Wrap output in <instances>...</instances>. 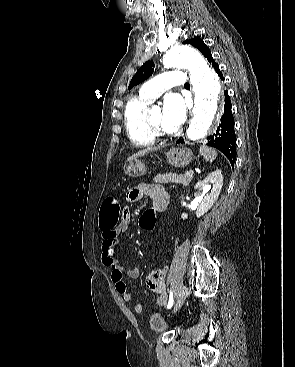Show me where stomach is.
Listing matches in <instances>:
<instances>
[{"instance_id": "1", "label": "stomach", "mask_w": 295, "mask_h": 367, "mask_svg": "<svg viewBox=\"0 0 295 367\" xmlns=\"http://www.w3.org/2000/svg\"><path fill=\"white\" fill-rule=\"evenodd\" d=\"M168 162L174 167H185L193 160V153L187 148H173L166 154ZM125 174L130 177H140L145 174L146 168L138 160L129 161L124 167Z\"/></svg>"}]
</instances>
